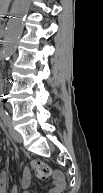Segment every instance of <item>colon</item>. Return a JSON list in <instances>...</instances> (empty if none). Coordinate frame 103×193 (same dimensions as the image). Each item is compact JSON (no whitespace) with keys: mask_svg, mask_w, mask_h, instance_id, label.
Returning <instances> with one entry per match:
<instances>
[{"mask_svg":"<svg viewBox=\"0 0 103 193\" xmlns=\"http://www.w3.org/2000/svg\"><path fill=\"white\" fill-rule=\"evenodd\" d=\"M33 168L38 179L45 180L52 175L50 167L42 161H34ZM58 174V173H56ZM56 174H54L56 176Z\"/></svg>","mask_w":103,"mask_h":193,"instance_id":"obj_1","label":"colon"}]
</instances>
